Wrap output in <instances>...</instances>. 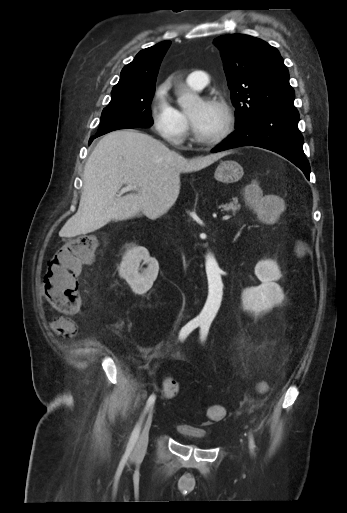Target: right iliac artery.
<instances>
[{"label":"right iliac artery","mask_w":347,"mask_h":513,"mask_svg":"<svg viewBox=\"0 0 347 513\" xmlns=\"http://www.w3.org/2000/svg\"><path fill=\"white\" fill-rule=\"evenodd\" d=\"M202 323H203L202 320L198 319V318H194L193 320L189 321L180 330L179 339L181 341H183L195 328H197ZM155 399H156V397L154 394H152L148 398L145 412L152 406V404L155 402ZM142 420H143V416L141 417L140 421L137 423V425L135 426L134 430L131 433V436H130V439H129V442H128L127 448H126L127 453H130L136 444V441H137L139 433H140Z\"/></svg>","instance_id":"1"}]
</instances>
